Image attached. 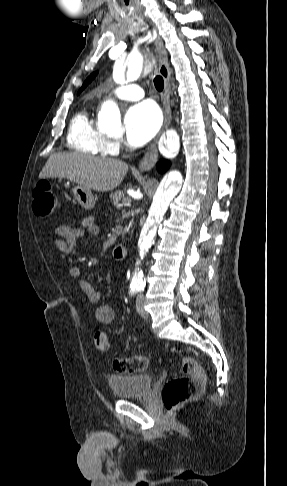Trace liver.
Instances as JSON below:
<instances>
[{
  "label": "liver",
  "mask_w": 287,
  "mask_h": 486,
  "mask_svg": "<svg viewBox=\"0 0 287 486\" xmlns=\"http://www.w3.org/2000/svg\"><path fill=\"white\" fill-rule=\"evenodd\" d=\"M127 171L128 165L121 160L63 152L49 157L39 178H64L106 192L119 186Z\"/></svg>",
  "instance_id": "liver-1"
}]
</instances>
